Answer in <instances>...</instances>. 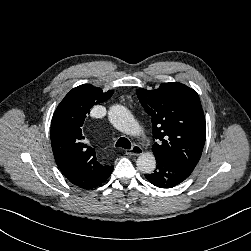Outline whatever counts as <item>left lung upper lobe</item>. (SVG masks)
Here are the masks:
<instances>
[{
	"label": "left lung upper lobe",
	"instance_id": "obj_1",
	"mask_svg": "<svg viewBox=\"0 0 251 251\" xmlns=\"http://www.w3.org/2000/svg\"><path fill=\"white\" fill-rule=\"evenodd\" d=\"M136 94L150 115L155 157H162L194 170L205 144L206 122L197 92L169 82L158 89H138Z\"/></svg>",
	"mask_w": 251,
	"mask_h": 251
}]
</instances>
